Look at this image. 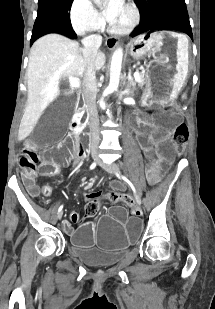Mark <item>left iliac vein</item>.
<instances>
[{
    "instance_id": "1",
    "label": "left iliac vein",
    "mask_w": 215,
    "mask_h": 309,
    "mask_svg": "<svg viewBox=\"0 0 215 309\" xmlns=\"http://www.w3.org/2000/svg\"><path fill=\"white\" fill-rule=\"evenodd\" d=\"M99 162H101V160H99ZM101 164H102V166L107 167L103 162H101ZM115 170H118V169L115 168ZM134 197H135V199H136V202H137L138 206H140L141 200H140L139 195H138L137 193H134Z\"/></svg>"
}]
</instances>
